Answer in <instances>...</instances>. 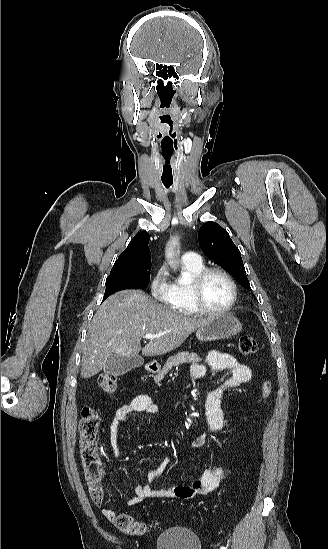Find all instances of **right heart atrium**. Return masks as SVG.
I'll use <instances>...</instances> for the list:
<instances>
[{
	"label": "right heart atrium",
	"instance_id": "d8ad5b80",
	"mask_svg": "<svg viewBox=\"0 0 328 549\" xmlns=\"http://www.w3.org/2000/svg\"><path fill=\"white\" fill-rule=\"evenodd\" d=\"M168 272L165 265L152 270L149 279V303H161L168 289Z\"/></svg>",
	"mask_w": 328,
	"mask_h": 549
}]
</instances>
